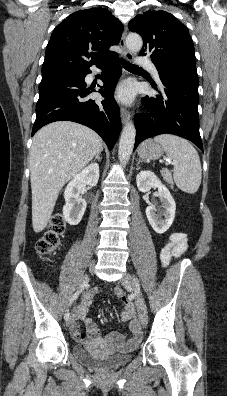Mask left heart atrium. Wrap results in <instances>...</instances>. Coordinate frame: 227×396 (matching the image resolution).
Masks as SVG:
<instances>
[{
	"label": "left heart atrium",
	"mask_w": 227,
	"mask_h": 396,
	"mask_svg": "<svg viewBox=\"0 0 227 396\" xmlns=\"http://www.w3.org/2000/svg\"><path fill=\"white\" fill-rule=\"evenodd\" d=\"M134 97V88L131 84L125 83L116 91V98L124 103L130 102Z\"/></svg>",
	"instance_id": "left-heart-atrium-1"
}]
</instances>
